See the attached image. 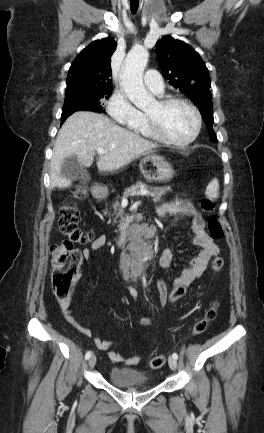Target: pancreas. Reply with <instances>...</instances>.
I'll return each mask as SVG.
<instances>
[{
    "instance_id": "cf45deb5",
    "label": "pancreas",
    "mask_w": 264,
    "mask_h": 433,
    "mask_svg": "<svg viewBox=\"0 0 264 433\" xmlns=\"http://www.w3.org/2000/svg\"><path fill=\"white\" fill-rule=\"evenodd\" d=\"M151 190L152 193L148 194L147 196H150L153 200V202H160L162 199V196L166 194L167 189L165 187H152V186H147L146 184H144L141 181H138L135 185L126 188L125 191L123 192V197H129V196H137L139 195L141 190ZM119 198V196H118ZM113 210H114V214L120 216L123 214V210L120 206V203L118 201H116L113 204ZM108 211L106 210L104 212V215H107Z\"/></svg>"
}]
</instances>
